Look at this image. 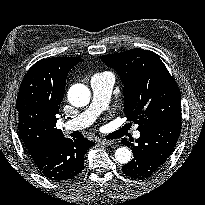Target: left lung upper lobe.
<instances>
[{
  "label": "left lung upper lobe",
  "instance_id": "1",
  "mask_svg": "<svg viewBox=\"0 0 205 205\" xmlns=\"http://www.w3.org/2000/svg\"><path fill=\"white\" fill-rule=\"evenodd\" d=\"M124 84V112L139 131L181 121L180 92L160 57L151 51H129L100 56Z\"/></svg>",
  "mask_w": 205,
  "mask_h": 205
}]
</instances>
